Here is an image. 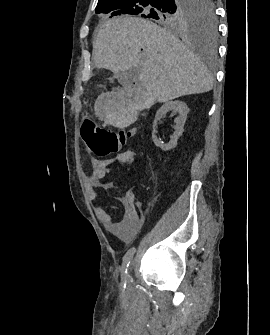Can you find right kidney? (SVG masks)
I'll return each mask as SVG.
<instances>
[{
	"instance_id": "obj_1",
	"label": "right kidney",
	"mask_w": 270,
	"mask_h": 335,
	"mask_svg": "<svg viewBox=\"0 0 270 335\" xmlns=\"http://www.w3.org/2000/svg\"><path fill=\"white\" fill-rule=\"evenodd\" d=\"M170 110H172L174 114H179L178 118H176L175 120V124H176L175 132L173 136H171V140L169 144H160L158 138H156L155 136L157 122L158 120H161V118H163V116H165L167 112H170ZM187 114H188V108L186 104H184V102H179V100H175V102H166L164 106H161L160 110L156 112L155 120L152 126L153 128L152 140L155 146H159L161 150H172V148H175V146H177V140L179 136H182V132H184L183 126L186 122Z\"/></svg>"
}]
</instances>
